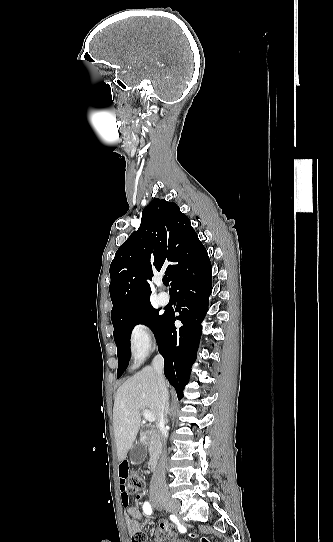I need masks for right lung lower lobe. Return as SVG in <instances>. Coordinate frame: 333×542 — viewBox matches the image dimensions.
<instances>
[{"instance_id":"1","label":"right lung lower lobe","mask_w":333,"mask_h":542,"mask_svg":"<svg viewBox=\"0 0 333 542\" xmlns=\"http://www.w3.org/2000/svg\"><path fill=\"white\" fill-rule=\"evenodd\" d=\"M175 260V277L171 288L177 299L175 311L179 315L175 316L173 310L165 311L155 337L165 361V376L181 399L184 386L189 381L191 366L197 357L202 334L201 323L207 313L208 299L212 292V267L200 240L181 249ZM175 320H180L183 326L176 328Z\"/></svg>"}]
</instances>
